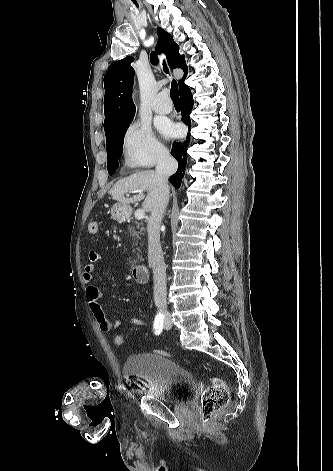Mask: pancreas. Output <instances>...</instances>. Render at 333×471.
<instances>
[{
    "label": "pancreas",
    "mask_w": 333,
    "mask_h": 471,
    "mask_svg": "<svg viewBox=\"0 0 333 471\" xmlns=\"http://www.w3.org/2000/svg\"><path fill=\"white\" fill-rule=\"evenodd\" d=\"M135 225L128 226V233L136 241L135 245H138V242L141 241V236L144 234L145 229L143 228L141 223H138L136 220L132 221ZM141 244V243H139ZM137 251H140V248L137 247ZM133 252H135V249H133ZM140 259V256L137 255L134 260H131V264H135L137 260Z\"/></svg>",
    "instance_id": "obj_1"
}]
</instances>
